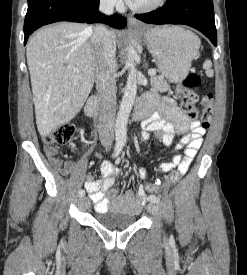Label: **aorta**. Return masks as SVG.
Listing matches in <instances>:
<instances>
[{"label":"aorta","mask_w":247,"mask_h":275,"mask_svg":"<svg viewBox=\"0 0 247 275\" xmlns=\"http://www.w3.org/2000/svg\"><path fill=\"white\" fill-rule=\"evenodd\" d=\"M137 59L138 54L135 50L134 42H131V44L128 47L126 60V66L129 68V72L115 124L116 138L122 141H125L127 138L128 119L137 93Z\"/></svg>","instance_id":"aorta-1"}]
</instances>
